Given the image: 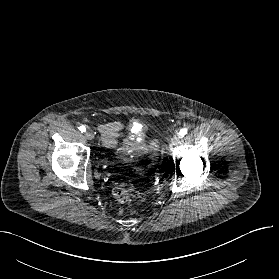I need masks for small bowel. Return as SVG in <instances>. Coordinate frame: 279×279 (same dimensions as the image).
I'll use <instances>...</instances> for the list:
<instances>
[{
    "instance_id": "1",
    "label": "small bowel",
    "mask_w": 279,
    "mask_h": 279,
    "mask_svg": "<svg viewBox=\"0 0 279 279\" xmlns=\"http://www.w3.org/2000/svg\"><path fill=\"white\" fill-rule=\"evenodd\" d=\"M101 140L106 148L114 149L119 145L118 139L124 136L125 125L119 121L101 123L97 126Z\"/></svg>"
}]
</instances>
